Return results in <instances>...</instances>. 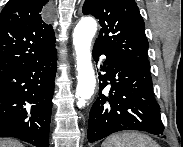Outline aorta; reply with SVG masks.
<instances>
[{
  "instance_id": "762f6f07",
  "label": "aorta",
  "mask_w": 183,
  "mask_h": 147,
  "mask_svg": "<svg viewBox=\"0 0 183 147\" xmlns=\"http://www.w3.org/2000/svg\"><path fill=\"white\" fill-rule=\"evenodd\" d=\"M97 31V23L91 17L82 18L73 33V44L76 52L78 107L82 108L94 94L96 86L95 72L91 61V42Z\"/></svg>"
}]
</instances>
